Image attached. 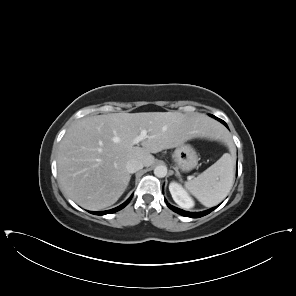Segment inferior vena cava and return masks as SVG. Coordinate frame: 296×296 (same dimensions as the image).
<instances>
[{"instance_id":"1","label":"inferior vena cava","mask_w":296,"mask_h":296,"mask_svg":"<svg viewBox=\"0 0 296 296\" xmlns=\"http://www.w3.org/2000/svg\"><path fill=\"white\" fill-rule=\"evenodd\" d=\"M144 167L143 163L137 159L129 160L126 169L129 173H135Z\"/></svg>"}]
</instances>
